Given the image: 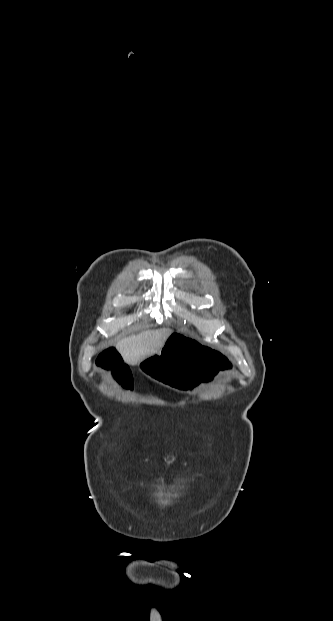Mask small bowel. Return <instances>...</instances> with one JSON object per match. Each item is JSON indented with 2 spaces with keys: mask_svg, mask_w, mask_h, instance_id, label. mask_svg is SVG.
Here are the masks:
<instances>
[{
  "mask_svg": "<svg viewBox=\"0 0 333 621\" xmlns=\"http://www.w3.org/2000/svg\"><path fill=\"white\" fill-rule=\"evenodd\" d=\"M96 365L110 372L123 388H132L133 379L130 368L117 349L108 348L101 352L96 358Z\"/></svg>",
  "mask_w": 333,
  "mask_h": 621,
  "instance_id": "c3829d8e",
  "label": "small bowel"
}]
</instances>
